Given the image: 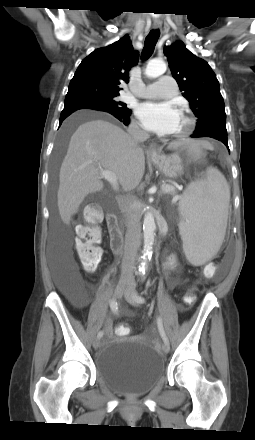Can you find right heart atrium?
Segmentation results:
<instances>
[{"label":"right heart atrium","mask_w":255,"mask_h":440,"mask_svg":"<svg viewBox=\"0 0 255 440\" xmlns=\"http://www.w3.org/2000/svg\"><path fill=\"white\" fill-rule=\"evenodd\" d=\"M132 128H133V130H135V131H139V130H140L139 124L136 123V122H134V123L132 124Z\"/></svg>","instance_id":"1"}]
</instances>
